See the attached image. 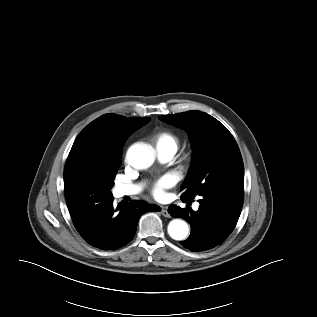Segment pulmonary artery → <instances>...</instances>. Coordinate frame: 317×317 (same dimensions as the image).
<instances>
[{"label": "pulmonary artery", "instance_id": "pulmonary-artery-1", "mask_svg": "<svg viewBox=\"0 0 317 317\" xmlns=\"http://www.w3.org/2000/svg\"><path fill=\"white\" fill-rule=\"evenodd\" d=\"M158 156L162 161H169L173 156L172 151H160L157 150ZM141 190V185H129V184H119L115 188V193L118 197L132 196L138 194Z\"/></svg>", "mask_w": 317, "mask_h": 317}]
</instances>
